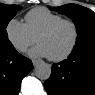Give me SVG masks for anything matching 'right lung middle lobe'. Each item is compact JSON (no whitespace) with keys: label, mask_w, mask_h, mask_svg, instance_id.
I'll return each mask as SVG.
<instances>
[{"label":"right lung middle lobe","mask_w":95,"mask_h":95,"mask_svg":"<svg viewBox=\"0 0 95 95\" xmlns=\"http://www.w3.org/2000/svg\"><path fill=\"white\" fill-rule=\"evenodd\" d=\"M20 9L21 7L17 5L0 4V47L11 45L6 27L9 21L15 16V13Z\"/></svg>","instance_id":"right-lung-middle-lobe-1"}]
</instances>
